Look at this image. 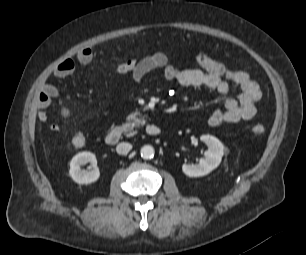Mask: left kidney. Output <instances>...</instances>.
I'll return each mask as SVG.
<instances>
[{"label":"left kidney","instance_id":"5707ae66","mask_svg":"<svg viewBox=\"0 0 306 255\" xmlns=\"http://www.w3.org/2000/svg\"><path fill=\"white\" fill-rule=\"evenodd\" d=\"M200 140L204 142L208 150L199 164H183L182 171L189 177H201L209 174L218 167L224 155V146L219 139L211 135H202Z\"/></svg>","mask_w":306,"mask_h":255}]
</instances>
